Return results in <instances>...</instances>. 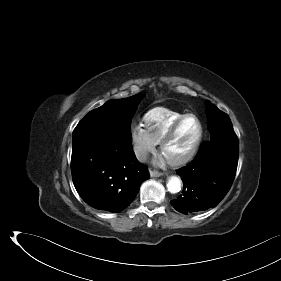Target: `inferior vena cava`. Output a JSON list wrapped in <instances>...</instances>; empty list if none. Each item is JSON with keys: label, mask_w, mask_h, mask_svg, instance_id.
Listing matches in <instances>:
<instances>
[{"label": "inferior vena cava", "mask_w": 281, "mask_h": 281, "mask_svg": "<svg viewBox=\"0 0 281 281\" xmlns=\"http://www.w3.org/2000/svg\"><path fill=\"white\" fill-rule=\"evenodd\" d=\"M134 152L135 155L137 157V159L141 162H144L147 160L148 158V153L145 149H143L142 147H135L134 148Z\"/></svg>", "instance_id": "602c4592"}]
</instances>
